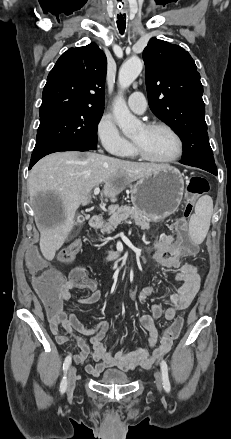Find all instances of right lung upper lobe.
<instances>
[{
	"label": "right lung upper lobe",
	"instance_id": "obj_1",
	"mask_svg": "<svg viewBox=\"0 0 231 439\" xmlns=\"http://www.w3.org/2000/svg\"><path fill=\"white\" fill-rule=\"evenodd\" d=\"M106 70V56L95 43L67 50L48 75L40 117L62 110L104 109Z\"/></svg>",
	"mask_w": 231,
	"mask_h": 439
}]
</instances>
